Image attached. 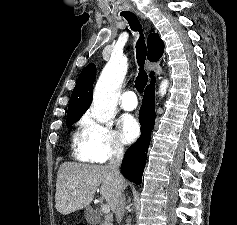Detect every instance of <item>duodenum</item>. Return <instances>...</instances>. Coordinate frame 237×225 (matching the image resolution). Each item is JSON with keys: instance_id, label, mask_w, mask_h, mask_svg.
I'll return each mask as SVG.
<instances>
[{"instance_id": "obj_1", "label": "duodenum", "mask_w": 237, "mask_h": 225, "mask_svg": "<svg viewBox=\"0 0 237 225\" xmlns=\"http://www.w3.org/2000/svg\"><path fill=\"white\" fill-rule=\"evenodd\" d=\"M99 225H110L108 222H106V221H101L100 223H99Z\"/></svg>"}]
</instances>
